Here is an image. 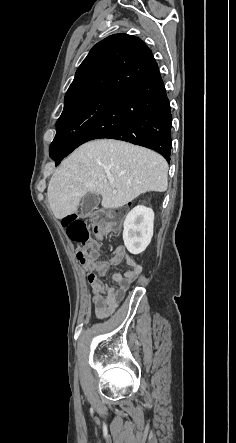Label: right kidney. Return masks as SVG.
<instances>
[{
  "label": "right kidney",
  "mask_w": 236,
  "mask_h": 443,
  "mask_svg": "<svg viewBox=\"0 0 236 443\" xmlns=\"http://www.w3.org/2000/svg\"><path fill=\"white\" fill-rule=\"evenodd\" d=\"M154 212L151 208L138 205L126 216L123 240L132 254L142 253L150 244L153 236Z\"/></svg>",
  "instance_id": "1"
}]
</instances>
